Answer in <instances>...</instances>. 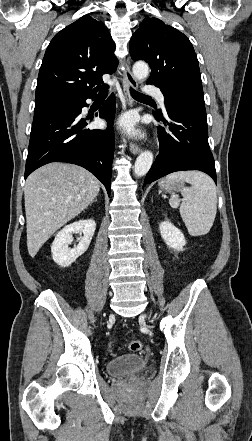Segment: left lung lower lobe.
<instances>
[{
    "label": "left lung lower lobe",
    "mask_w": 252,
    "mask_h": 441,
    "mask_svg": "<svg viewBox=\"0 0 252 441\" xmlns=\"http://www.w3.org/2000/svg\"><path fill=\"white\" fill-rule=\"evenodd\" d=\"M165 107L167 118L161 114L156 118L169 128L158 127L159 154L146 175L144 185L183 170L203 171L216 182L205 107L185 97L171 99Z\"/></svg>",
    "instance_id": "obj_1"
}]
</instances>
